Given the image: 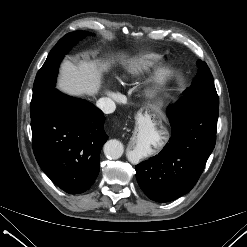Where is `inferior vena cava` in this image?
<instances>
[{
    "instance_id": "1",
    "label": "inferior vena cava",
    "mask_w": 247,
    "mask_h": 247,
    "mask_svg": "<svg viewBox=\"0 0 247 247\" xmlns=\"http://www.w3.org/2000/svg\"><path fill=\"white\" fill-rule=\"evenodd\" d=\"M96 106L105 114L113 113L116 109L115 102L111 98L107 97L100 98L97 101Z\"/></svg>"
}]
</instances>
